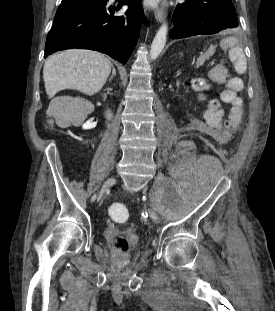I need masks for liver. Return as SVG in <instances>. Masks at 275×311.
Instances as JSON below:
<instances>
[{
	"instance_id": "1",
	"label": "liver",
	"mask_w": 275,
	"mask_h": 311,
	"mask_svg": "<svg viewBox=\"0 0 275 311\" xmlns=\"http://www.w3.org/2000/svg\"><path fill=\"white\" fill-rule=\"evenodd\" d=\"M112 63L102 53L70 49L49 57L44 64L43 79L49 98L64 89L86 95L99 92L111 72Z\"/></svg>"
}]
</instances>
